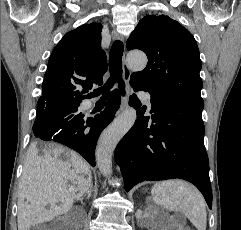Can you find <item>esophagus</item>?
I'll return each instance as SVG.
<instances>
[{
	"instance_id": "esophagus-1",
	"label": "esophagus",
	"mask_w": 241,
	"mask_h": 230,
	"mask_svg": "<svg viewBox=\"0 0 241 230\" xmlns=\"http://www.w3.org/2000/svg\"><path fill=\"white\" fill-rule=\"evenodd\" d=\"M112 39L113 40H119L121 37L118 35L117 32L112 33ZM131 76V71L130 68L128 67L126 60H125V55L123 56V80L125 82V96L121 100V105L120 108L117 112V114H120L123 112L127 107L129 103V80Z\"/></svg>"
}]
</instances>
